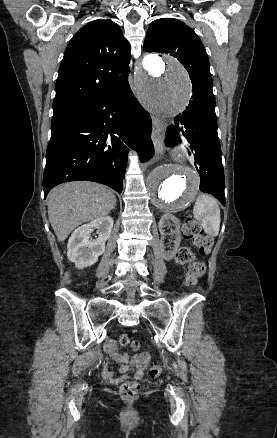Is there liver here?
Wrapping results in <instances>:
<instances>
[{"label":"liver","mask_w":277,"mask_h":438,"mask_svg":"<svg viewBox=\"0 0 277 438\" xmlns=\"http://www.w3.org/2000/svg\"><path fill=\"white\" fill-rule=\"evenodd\" d=\"M115 206L112 190L93 182L61 184L48 196V216L59 242L80 224L108 216Z\"/></svg>","instance_id":"obj_1"}]
</instances>
